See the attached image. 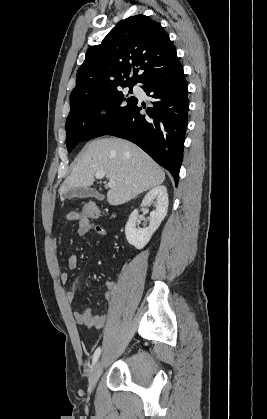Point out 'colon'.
<instances>
[{"mask_svg":"<svg viewBox=\"0 0 267 419\" xmlns=\"http://www.w3.org/2000/svg\"><path fill=\"white\" fill-rule=\"evenodd\" d=\"M79 213L84 219L89 220L98 218L101 215V210L97 205L89 203L86 204Z\"/></svg>","mask_w":267,"mask_h":419,"instance_id":"obj_1","label":"colon"}]
</instances>
